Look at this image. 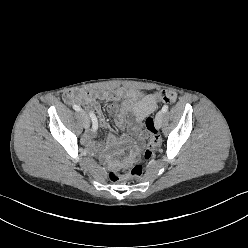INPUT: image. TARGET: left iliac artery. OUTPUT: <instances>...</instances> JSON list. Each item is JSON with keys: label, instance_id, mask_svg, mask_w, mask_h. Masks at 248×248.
Masks as SVG:
<instances>
[{"label": "left iliac artery", "instance_id": "1", "mask_svg": "<svg viewBox=\"0 0 248 248\" xmlns=\"http://www.w3.org/2000/svg\"><path fill=\"white\" fill-rule=\"evenodd\" d=\"M162 111H163V113L167 112L168 111V105H164L162 107Z\"/></svg>", "mask_w": 248, "mask_h": 248}]
</instances>
